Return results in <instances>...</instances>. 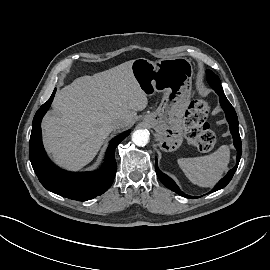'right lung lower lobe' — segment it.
I'll use <instances>...</instances> for the list:
<instances>
[{
  "label": "right lung lower lobe",
  "instance_id": "obj_1",
  "mask_svg": "<svg viewBox=\"0 0 270 270\" xmlns=\"http://www.w3.org/2000/svg\"><path fill=\"white\" fill-rule=\"evenodd\" d=\"M55 92L56 89L34 116L29 142L30 161L39 181L47 190L78 201L90 200L103 194L113 183L117 170L115 148L129 135L130 131L118 135L110 142L105 162L99 170L73 173L60 169L47 157L41 135V120L49 109Z\"/></svg>",
  "mask_w": 270,
  "mask_h": 270
}]
</instances>
